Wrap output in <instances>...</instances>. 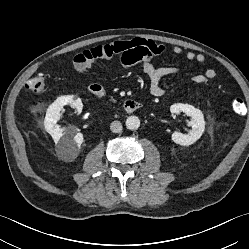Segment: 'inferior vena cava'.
<instances>
[{
  "label": "inferior vena cava",
  "mask_w": 249,
  "mask_h": 249,
  "mask_svg": "<svg viewBox=\"0 0 249 249\" xmlns=\"http://www.w3.org/2000/svg\"><path fill=\"white\" fill-rule=\"evenodd\" d=\"M110 129L113 133H119L122 131V123L120 121H113L110 124Z\"/></svg>",
  "instance_id": "602c4592"
}]
</instances>
